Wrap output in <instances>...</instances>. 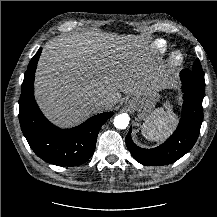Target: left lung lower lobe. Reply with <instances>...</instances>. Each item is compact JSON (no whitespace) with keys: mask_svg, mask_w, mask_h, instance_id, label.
<instances>
[{"mask_svg":"<svg viewBox=\"0 0 217 217\" xmlns=\"http://www.w3.org/2000/svg\"><path fill=\"white\" fill-rule=\"evenodd\" d=\"M180 78L184 92L183 111L176 131L167 141L156 148L143 149L133 143L131 129L126 136L127 148L141 164L153 166L174 163L190 151L199 136L203 121L205 83L196 79L188 69L181 72Z\"/></svg>","mask_w":217,"mask_h":217,"instance_id":"obj_1","label":"left lung lower lobe"}]
</instances>
